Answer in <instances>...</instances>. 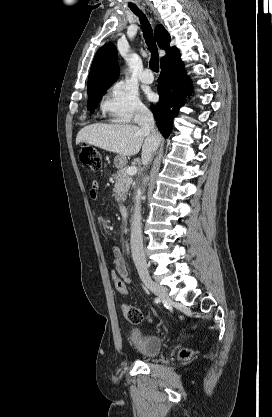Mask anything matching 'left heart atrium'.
Instances as JSON below:
<instances>
[{
  "label": "left heart atrium",
  "instance_id": "1",
  "mask_svg": "<svg viewBox=\"0 0 272 417\" xmlns=\"http://www.w3.org/2000/svg\"><path fill=\"white\" fill-rule=\"evenodd\" d=\"M149 97H150V98H153V94H150V95H149Z\"/></svg>",
  "mask_w": 272,
  "mask_h": 417
}]
</instances>
